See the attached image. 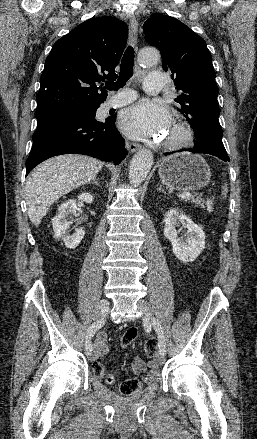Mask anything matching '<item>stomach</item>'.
<instances>
[{
    "label": "stomach",
    "instance_id": "0dacf381",
    "mask_svg": "<svg viewBox=\"0 0 257 439\" xmlns=\"http://www.w3.org/2000/svg\"><path fill=\"white\" fill-rule=\"evenodd\" d=\"M159 176L168 187L181 191H195L208 185L211 172L201 155L178 153L160 162Z\"/></svg>",
    "mask_w": 257,
    "mask_h": 439
}]
</instances>
